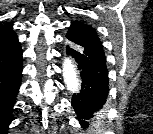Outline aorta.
I'll return each mask as SVG.
<instances>
[{"mask_svg":"<svg viewBox=\"0 0 153 134\" xmlns=\"http://www.w3.org/2000/svg\"><path fill=\"white\" fill-rule=\"evenodd\" d=\"M63 78L67 90L72 93H77L80 89V82L77 76L76 68L71 58H65L63 62Z\"/></svg>","mask_w":153,"mask_h":134,"instance_id":"obj_1","label":"aorta"}]
</instances>
